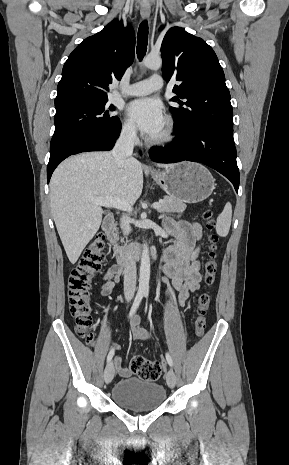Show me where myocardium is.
Segmentation results:
<instances>
[{"mask_svg":"<svg viewBox=\"0 0 289 465\" xmlns=\"http://www.w3.org/2000/svg\"><path fill=\"white\" fill-rule=\"evenodd\" d=\"M174 138V130L171 121H167L161 133L150 139L152 144L162 145L172 141Z\"/></svg>","mask_w":289,"mask_h":465,"instance_id":"f54148a6","label":"myocardium"}]
</instances>
